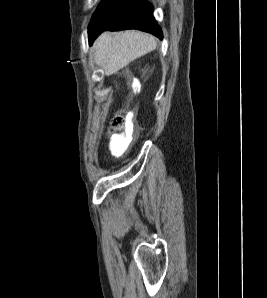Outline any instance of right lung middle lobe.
Instances as JSON below:
<instances>
[{
	"mask_svg": "<svg viewBox=\"0 0 267 298\" xmlns=\"http://www.w3.org/2000/svg\"><path fill=\"white\" fill-rule=\"evenodd\" d=\"M108 1L109 0H102V2L97 7L95 13L93 14V17H92L91 21H93L99 15V13L103 10L104 6L107 4Z\"/></svg>",
	"mask_w": 267,
	"mask_h": 298,
	"instance_id": "obj_1",
	"label": "right lung middle lobe"
}]
</instances>
